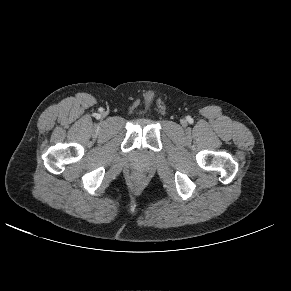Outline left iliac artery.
Segmentation results:
<instances>
[{
	"label": "left iliac artery",
	"mask_w": 291,
	"mask_h": 291,
	"mask_svg": "<svg viewBox=\"0 0 291 291\" xmlns=\"http://www.w3.org/2000/svg\"><path fill=\"white\" fill-rule=\"evenodd\" d=\"M191 120H192V119L190 118V119H189V122H191Z\"/></svg>",
	"instance_id": "obj_1"
}]
</instances>
